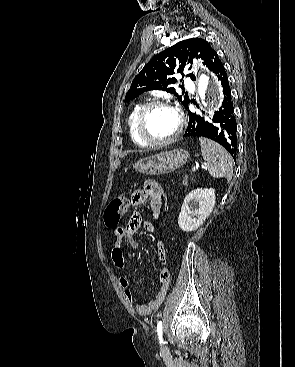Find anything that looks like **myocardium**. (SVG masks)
<instances>
[{
  "mask_svg": "<svg viewBox=\"0 0 295 367\" xmlns=\"http://www.w3.org/2000/svg\"><path fill=\"white\" fill-rule=\"evenodd\" d=\"M158 107H165V108H169L173 110L178 118V127L175 133L172 136H170L169 138L163 139V140H155V139L150 138L147 135L146 130H145V123H146L148 114L150 113L151 110H153L154 108H158ZM183 128H184V119L182 115L180 114V112L174 106H172L169 102L162 101V100H155V101L145 104L141 108L137 116V120H136L137 134L139 138L149 146L161 147V146H166V145H169L175 142L180 137L183 131Z\"/></svg>",
  "mask_w": 295,
  "mask_h": 367,
  "instance_id": "1",
  "label": "myocardium"
}]
</instances>
